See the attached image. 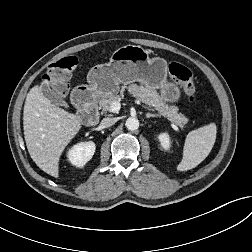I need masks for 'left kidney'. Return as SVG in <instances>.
<instances>
[{"label":"left kidney","instance_id":"1","mask_svg":"<svg viewBox=\"0 0 252 252\" xmlns=\"http://www.w3.org/2000/svg\"><path fill=\"white\" fill-rule=\"evenodd\" d=\"M158 139L160 141L161 146L165 149V150H169L171 147V142H170V137L167 133H161L158 136Z\"/></svg>","mask_w":252,"mask_h":252}]
</instances>
